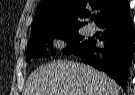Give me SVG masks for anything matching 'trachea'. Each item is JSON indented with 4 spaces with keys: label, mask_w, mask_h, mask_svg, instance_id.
<instances>
[{
    "label": "trachea",
    "mask_w": 135,
    "mask_h": 95,
    "mask_svg": "<svg viewBox=\"0 0 135 95\" xmlns=\"http://www.w3.org/2000/svg\"><path fill=\"white\" fill-rule=\"evenodd\" d=\"M96 18V16H92V19L94 20Z\"/></svg>",
    "instance_id": "trachea-1"
}]
</instances>
